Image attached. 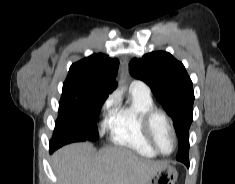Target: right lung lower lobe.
Instances as JSON below:
<instances>
[{
	"mask_svg": "<svg viewBox=\"0 0 235 184\" xmlns=\"http://www.w3.org/2000/svg\"><path fill=\"white\" fill-rule=\"evenodd\" d=\"M59 126H60L59 123L56 122L54 135H55L56 132L58 131ZM53 138H54V136H53ZM53 138H52V140H53ZM52 140L50 141V152H51V153H52L54 150H56V149H54L53 146H52Z\"/></svg>",
	"mask_w": 235,
	"mask_h": 184,
	"instance_id": "1",
	"label": "right lung lower lobe"
}]
</instances>
